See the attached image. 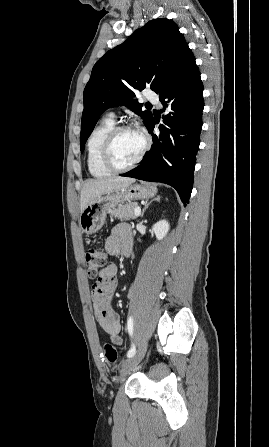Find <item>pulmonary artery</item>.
<instances>
[{
	"label": "pulmonary artery",
	"mask_w": 269,
	"mask_h": 447,
	"mask_svg": "<svg viewBox=\"0 0 269 447\" xmlns=\"http://www.w3.org/2000/svg\"><path fill=\"white\" fill-rule=\"evenodd\" d=\"M145 96H146V98L151 99V100H153L156 103H159L158 102V98H157V92L155 90H148V91H146ZM108 116L111 117V118H114L115 114L112 111V112L108 113Z\"/></svg>",
	"instance_id": "obj_1"
}]
</instances>
